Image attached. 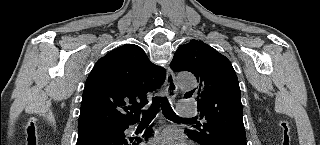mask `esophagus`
Here are the masks:
<instances>
[{
	"label": "esophagus",
	"instance_id": "esophagus-1",
	"mask_svg": "<svg viewBox=\"0 0 320 145\" xmlns=\"http://www.w3.org/2000/svg\"><path fill=\"white\" fill-rule=\"evenodd\" d=\"M177 89L178 87L175 81V76L173 72L170 69H168L166 80L164 83V93L165 95L173 98L177 93Z\"/></svg>",
	"mask_w": 320,
	"mask_h": 145
}]
</instances>
